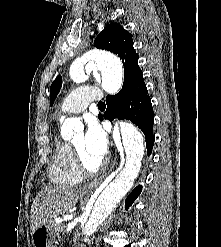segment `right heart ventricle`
I'll list each match as a JSON object with an SVG mask.
<instances>
[{
  "label": "right heart ventricle",
  "instance_id": "obj_1",
  "mask_svg": "<svg viewBox=\"0 0 221 247\" xmlns=\"http://www.w3.org/2000/svg\"><path fill=\"white\" fill-rule=\"evenodd\" d=\"M48 175L51 182L59 186H75L82 180V173L78 169L70 144L58 136L55 138Z\"/></svg>",
  "mask_w": 221,
  "mask_h": 247
}]
</instances>
